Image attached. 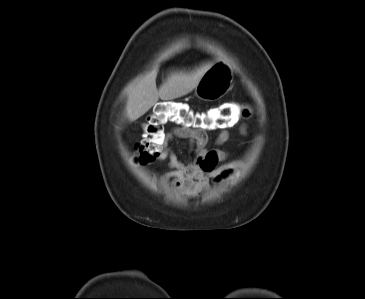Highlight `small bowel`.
<instances>
[{"label":"small bowel","instance_id":"c3829d8e","mask_svg":"<svg viewBox=\"0 0 365 299\" xmlns=\"http://www.w3.org/2000/svg\"><path fill=\"white\" fill-rule=\"evenodd\" d=\"M246 125L241 126V133L246 134ZM229 132L223 128L214 140L215 147H209V139L203 129L190 130L182 127H174L166 134L165 143L158 160H168L169 171L162 176L163 183H170V187L190 196L203 194L211 179L226 178L233 168L239 165L232 162L224 167H217L218 163L228 157V152L219 149L218 146L229 140ZM173 139L188 141L194 152L192 161L184 162L168 147Z\"/></svg>","mask_w":365,"mask_h":299}]
</instances>
